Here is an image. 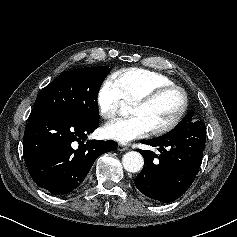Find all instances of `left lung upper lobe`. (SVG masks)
<instances>
[{
    "label": "left lung upper lobe",
    "instance_id": "left-lung-upper-lobe-1",
    "mask_svg": "<svg viewBox=\"0 0 237 237\" xmlns=\"http://www.w3.org/2000/svg\"><path fill=\"white\" fill-rule=\"evenodd\" d=\"M190 113H192V112L187 113V115H189ZM187 115H186V116H187Z\"/></svg>",
    "mask_w": 237,
    "mask_h": 237
}]
</instances>
